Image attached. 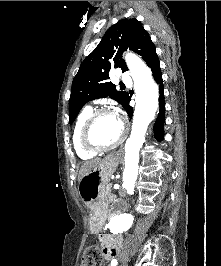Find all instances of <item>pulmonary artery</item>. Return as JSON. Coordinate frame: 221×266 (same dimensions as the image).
I'll use <instances>...</instances> for the list:
<instances>
[{
    "instance_id": "1",
    "label": "pulmonary artery",
    "mask_w": 221,
    "mask_h": 266,
    "mask_svg": "<svg viewBox=\"0 0 221 266\" xmlns=\"http://www.w3.org/2000/svg\"><path fill=\"white\" fill-rule=\"evenodd\" d=\"M119 77L124 82H129V80H130L128 73L123 72L121 70H119Z\"/></svg>"
}]
</instances>
